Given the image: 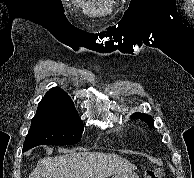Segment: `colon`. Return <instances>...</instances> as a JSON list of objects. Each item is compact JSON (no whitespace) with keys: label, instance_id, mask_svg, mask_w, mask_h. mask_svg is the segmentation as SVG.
<instances>
[{"label":"colon","instance_id":"1","mask_svg":"<svg viewBox=\"0 0 194 178\" xmlns=\"http://www.w3.org/2000/svg\"><path fill=\"white\" fill-rule=\"evenodd\" d=\"M166 171L164 168L156 167L146 171V178H165Z\"/></svg>","mask_w":194,"mask_h":178}]
</instances>
